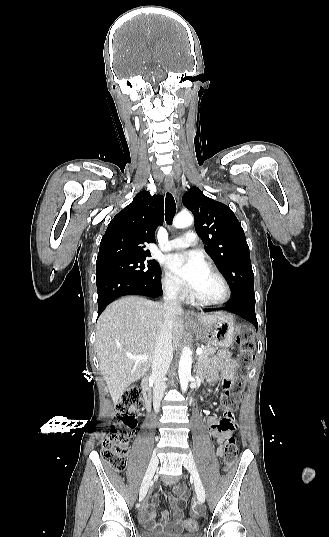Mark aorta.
<instances>
[{"label": "aorta", "mask_w": 329, "mask_h": 537, "mask_svg": "<svg viewBox=\"0 0 329 537\" xmlns=\"http://www.w3.org/2000/svg\"><path fill=\"white\" fill-rule=\"evenodd\" d=\"M192 223L193 216L188 212H180L173 220L174 227L178 229L191 226ZM191 366L192 351L189 347L185 346L181 353L178 369L180 385L183 392L188 388V383L191 378Z\"/></svg>", "instance_id": "obj_1"}]
</instances>
